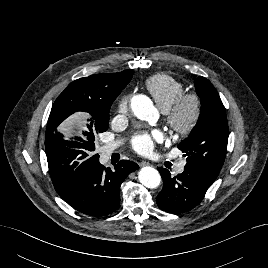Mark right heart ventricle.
Masks as SVG:
<instances>
[{"label":"right heart ventricle","mask_w":268,"mask_h":268,"mask_svg":"<svg viewBox=\"0 0 268 268\" xmlns=\"http://www.w3.org/2000/svg\"><path fill=\"white\" fill-rule=\"evenodd\" d=\"M145 88L161 111L166 112L184 92L179 81L166 74H156L145 82Z\"/></svg>","instance_id":"1"}]
</instances>
